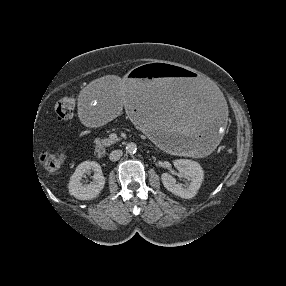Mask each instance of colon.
<instances>
[{"label":"colon","mask_w":286,"mask_h":286,"mask_svg":"<svg viewBox=\"0 0 286 286\" xmlns=\"http://www.w3.org/2000/svg\"><path fill=\"white\" fill-rule=\"evenodd\" d=\"M76 101L71 96L59 99L55 105V112L59 119H69L74 112ZM65 157L62 153L45 150L40 155V162L48 172L57 171L64 163Z\"/></svg>","instance_id":"5ec220e1"}]
</instances>
